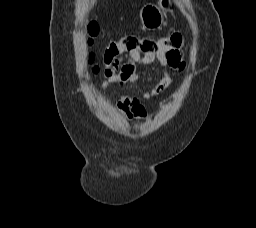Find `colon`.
<instances>
[{"instance_id": "5ec220e1", "label": "colon", "mask_w": 256, "mask_h": 228, "mask_svg": "<svg viewBox=\"0 0 256 228\" xmlns=\"http://www.w3.org/2000/svg\"><path fill=\"white\" fill-rule=\"evenodd\" d=\"M99 32V26L96 22H91L88 25L89 45H92L94 38ZM165 45L170 49L182 50L184 48V40L181 35L173 34L165 38ZM160 48V41L150 39H139L135 36H125L120 40L111 41L105 48L103 55L104 65H114L119 58L130 51L138 50L140 52H156ZM95 55L89 54V63L94 64ZM100 68L96 65L93 66V72L98 73Z\"/></svg>"}]
</instances>
